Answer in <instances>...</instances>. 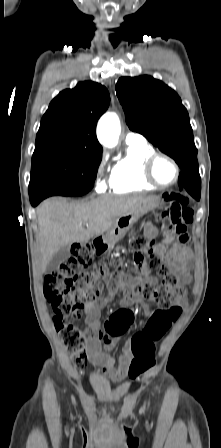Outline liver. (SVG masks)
<instances>
[{
  "label": "liver",
  "mask_w": 221,
  "mask_h": 448,
  "mask_svg": "<svg viewBox=\"0 0 221 448\" xmlns=\"http://www.w3.org/2000/svg\"><path fill=\"white\" fill-rule=\"evenodd\" d=\"M152 197L104 195L86 203H68L60 198L45 200L36 211L41 271L62 247L86 243L93 237L103 235L118 218Z\"/></svg>",
  "instance_id": "obj_1"
}]
</instances>
